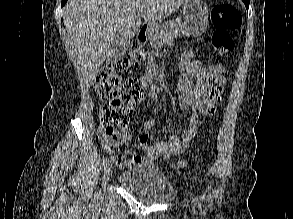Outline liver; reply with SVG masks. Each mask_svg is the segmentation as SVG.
I'll list each match as a JSON object with an SVG mask.
<instances>
[{"mask_svg":"<svg viewBox=\"0 0 293 219\" xmlns=\"http://www.w3.org/2000/svg\"><path fill=\"white\" fill-rule=\"evenodd\" d=\"M187 0H68L63 9L75 64L86 81L102 66L116 36L130 39L141 26L138 14L150 27L170 16Z\"/></svg>","mask_w":293,"mask_h":219,"instance_id":"6515ba94","label":"liver"}]
</instances>
